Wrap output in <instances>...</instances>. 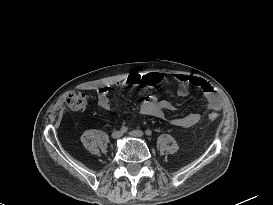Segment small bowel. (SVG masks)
Instances as JSON below:
<instances>
[{
    "label": "small bowel",
    "instance_id": "small-bowel-1",
    "mask_svg": "<svg viewBox=\"0 0 273 205\" xmlns=\"http://www.w3.org/2000/svg\"><path fill=\"white\" fill-rule=\"evenodd\" d=\"M164 80V77L159 73H139L134 72L120 79L117 84L122 86L140 85L156 86ZM173 80L178 83L177 94L179 96H185L187 94L186 84H191L200 89L205 98L206 106L210 110L218 111L222 108V101L218 93L213 86L206 80L188 76L184 74L175 75ZM109 86H101L97 92V102L100 108L106 111H113L110 99L108 97ZM174 105L166 100H158L154 95L146 93L140 106V112L143 115L154 116L157 118H163L166 111H174ZM200 120L198 113H188L187 115L179 118L172 119L171 123L174 126L181 128H189L195 125Z\"/></svg>",
    "mask_w": 273,
    "mask_h": 205
}]
</instances>
